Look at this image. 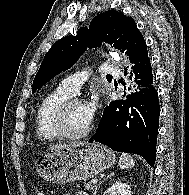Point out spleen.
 I'll return each mask as SVG.
<instances>
[{"mask_svg": "<svg viewBox=\"0 0 189 195\" xmlns=\"http://www.w3.org/2000/svg\"><path fill=\"white\" fill-rule=\"evenodd\" d=\"M134 165H135V162H134V160H133V158H132L131 155L123 153V154L120 156V159H119V166H120L122 169L132 168Z\"/></svg>", "mask_w": 189, "mask_h": 195, "instance_id": "3e777b00", "label": "spleen"}]
</instances>
